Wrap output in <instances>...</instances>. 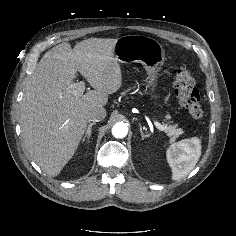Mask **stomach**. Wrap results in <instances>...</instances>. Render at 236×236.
Returning <instances> with one entry per match:
<instances>
[{"label":"stomach","mask_w":236,"mask_h":236,"mask_svg":"<svg viewBox=\"0 0 236 236\" xmlns=\"http://www.w3.org/2000/svg\"><path fill=\"white\" fill-rule=\"evenodd\" d=\"M114 55L120 63L138 62L147 71L151 91L157 87V77L165 61V51L154 38L145 35H125L117 39Z\"/></svg>","instance_id":"obj_1"}]
</instances>
